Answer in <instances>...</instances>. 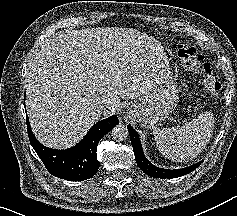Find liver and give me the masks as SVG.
<instances>
[{"label": "liver", "mask_w": 237, "mask_h": 216, "mask_svg": "<svg viewBox=\"0 0 237 216\" xmlns=\"http://www.w3.org/2000/svg\"><path fill=\"white\" fill-rule=\"evenodd\" d=\"M114 29L67 30L42 47L26 73V108L37 140L48 147L78 143L101 115L99 101L138 98L157 74L120 61Z\"/></svg>", "instance_id": "1"}]
</instances>
